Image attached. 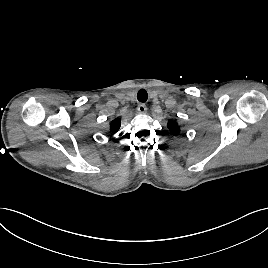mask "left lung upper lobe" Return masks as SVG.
Returning a JSON list of instances; mask_svg holds the SVG:
<instances>
[{"label": "left lung upper lobe", "instance_id": "obj_1", "mask_svg": "<svg viewBox=\"0 0 268 268\" xmlns=\"http://www.w3.org/2000/svg\"><path fill=\"white\" fill-rule=\"evenodd\" d=\"M167 127L174 136H177L180 133V127L175 120H169Z\"/></svg>", "mask_w": 268, "mask_h": 268}]
</instances>
